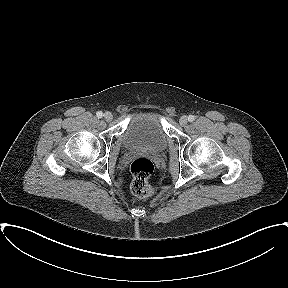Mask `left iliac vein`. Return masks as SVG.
<instances>
[{
    "mask_svg": "<svg viewBox=\"0 0 288 288\" xmlns=\"http://www.w3.org/2000/svg\"><path fill=\"white\" fill-rule=\"evenodd\" d=\"M188 123V118L187 116H181L179 119V124L181 126H186V124Z\"/></svg>",
    "mask_w": 288,
    "mask_h": 288,
    "instance_id": "1",
    "label": "left iliac vein"
}]
</instances>
